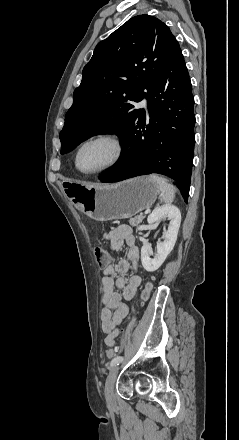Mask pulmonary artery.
Segmentation results:
<instances>
[{"label":"pulmonary artery","mask_w":239,"mask_h":440,"mask_svg":"<svg viewBox=\"0 0 239 440\" xmlns=\"http://www.w3.org/2000/svg\"><path fill=\"white\" fill-rule=\"evenodd\" d=\"M138 107L147 110V100L143 99L140 103H138Z\"/></svg>","instance_id":"obj_1"}]
</instances>
